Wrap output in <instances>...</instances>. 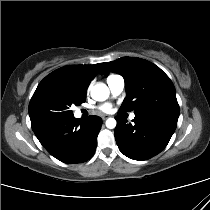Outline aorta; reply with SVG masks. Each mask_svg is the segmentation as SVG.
Masks as SVG:
<instances>
[{"label":"aorta","instance_id":"762f6f07","mask_svg":"<svg viewBox=\"0 0 210 210\" xmlns=\"http://www.w3.org/2000/svg\"><path fill=\"white\" fill-rule=\"evenodd\" d=\"M91 97L96 101H105L109 97V88L103 83L96 84L91 89ZM116 120L108 118L106 120V127L113 129L116 127Z\"/></svg>","mask_w":210,"mask_h":210}]
</instances>
